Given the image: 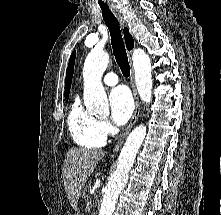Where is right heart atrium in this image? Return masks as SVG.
I'll list each match as a JSON object with an SVG mask.
<instances>
[{
    "instance_id": "right-heart-atrium-1",
    "label": "right heart atrium",
    "mask_w": 221,
    "mask_h": 215,
    "mask_svg": "<svg viewBox=\"0 0 221 215\" xmlns=\"http://www.w3.org/2000/svg\"><path fill=\"white\" fill-rule=\"evenodd\" d=\"M97 128L99 134L104 138L113 134L115 130L113 125L106 119L98 120Z\"/></svg>"
}]
</instances>
